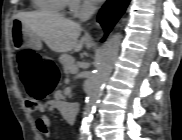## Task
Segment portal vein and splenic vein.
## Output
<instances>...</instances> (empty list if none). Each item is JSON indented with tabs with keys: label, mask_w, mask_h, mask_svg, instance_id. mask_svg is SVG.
<instances>
[{
	"label": "portal vein and splenic vein",
	"mask_w": 182,
	"mask_h": 140,
	"mask_svg": "<svg viewBox=\"0 0 182 140\" xmlns=\"http://www.w3.org/2000/svg\"><path fill=\"white\" fill-rule=\"evenodd\" d=\"M78 72V68H75L72 70V73H77Z\"/></svg>",
	"instance_id": "18ae733b"
}]
</instances>
